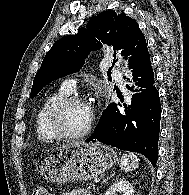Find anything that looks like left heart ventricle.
<instances>
[{"instance_id":"b2bd125f","label":"left heart ventricle","mask_w":189,"mask_h":195,"mask_svg":"<svg viewBox=\"0 0 189 195\" xmlns=\"http://www.w3.org/2000/svg\"><path fill=\"white\" fill-rule=\"evenodd\" d=\"M91 117L89 106L75 104L70 106L61 117V128L67 134H78L82 132Z\"/></svg>"}]
</instances>
